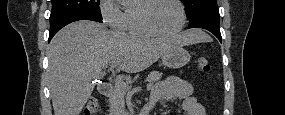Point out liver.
I'll return each mask as SVG.
<instances>
[{
  "label": "liver",
  "mask_w": 285,
  "mask_h": 115,
  "mask_svg": "<svg viewBox=\"0 0 285 115\" xmlns=\"http://www.w3.org/2000/svg\"><path fill=\"white\" fill-rule=\"evenodd\" d=\"M200 30L171 38H139L88 20L62 28L47 48L48 79L55 115H79L103 69L120 62L128 73L143 71L176 46L202 42ZM209 39V37H208Z\"/></svg>",
  "instance_id": "1"
}]
</instances>
